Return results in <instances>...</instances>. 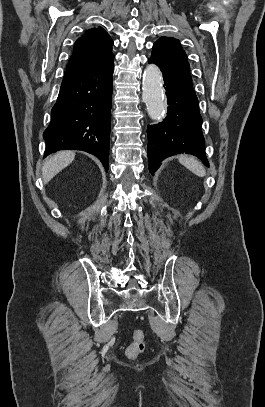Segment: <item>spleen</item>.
<instances>
[{"mask_svg": "<svg viewBox=\"0 0 265 407\" xmlns=\"http://www.w3.org/2000/svg\"><path fill=\"white\" fill-rule=\"evenodd\" d=\"M179 162L197 176L200 177L205 176V169L203 165L195 158L188 156H180Z\"/></svg>", "mask_w": 265, "mask_h": 407, "instance_id": "spleen-1", "label": "spleen"}]
</instances>
